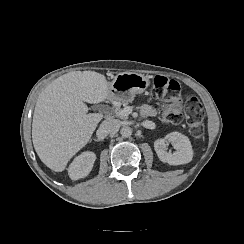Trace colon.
Wrapping results in <instances>:
<instances>
[{
    "mask_svg": "<svg viewBox=\"0 0 244 244\" xmlns=\"http://www.w3.org/2000/svg\"><path fill=\"white\" fill-rule=\"evenodd\" d=\"M153 88L155 99L160 103L167 102L163 105L161 120L166 121L173 118V124L178 125L181 122L178 115L183 113L192 137L201 138L204 132V107L202 103L195 97H189L183 102L180 99V84L166 77L156 76L153 79Z\"/></svg>",
    "mask_w": 244,
    "mask_h": 244,
    "instance_id": "1",
    "label": "colon"
}]
</instances>
